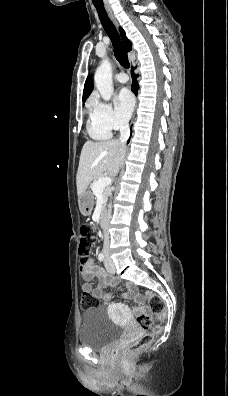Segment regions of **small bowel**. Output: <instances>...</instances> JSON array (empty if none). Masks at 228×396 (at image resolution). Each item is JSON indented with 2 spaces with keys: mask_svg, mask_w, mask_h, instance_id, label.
I'll return each instance as SVG.
<instances>
[{
  "mask_svg": "<svg viewBox=\"0 0 228 396\" xmlns=\"http://www.w3.org/2000/svg\"><path fill=\"white\" fill-rule=\"evenodd\" d=\"M80 272L83 279L85 280V282L81 286L83 293H90L97 299H101L103 301L110 300V294L105 293L103 291V288L105 286H117L119 282L116 278L107 275L101 267L94 263L93 260H90L87 265H81ZM92 278H97L99 280L98 287L94 289L89 282ZM126 288L128 290L126 294L127 297L135 302V306L132 308V312L137 316L145 314L147 312V308L142 304V299L136 293L134 286L131 284H126ZM115 307L126 310L123 305H116Z\"/></svg>",
  "mask_w": 228,
  "mask_h": 396,
  "instance_id": "obj_1",
  "label": "small bowel"
}]
</instances>
